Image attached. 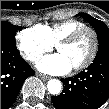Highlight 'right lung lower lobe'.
Wrapping results in <instances>:
<instances>
[{
	"label": "right lung lower lobe",
	"instance_id": "98d812e1",
	"mask_svg": "<svg viewBox=\"0 0 109 109\" xmlns=\"http://www.w3.org/2000/svg\"><path fill=\"white\" fill-rule=\"evenodd\" d=\"M34 73L17 49L1 46V109L13 104L25 79Z\"/></svg>",
	"mask_w": 109,
	"mask_h": 109
}]
</instances>
